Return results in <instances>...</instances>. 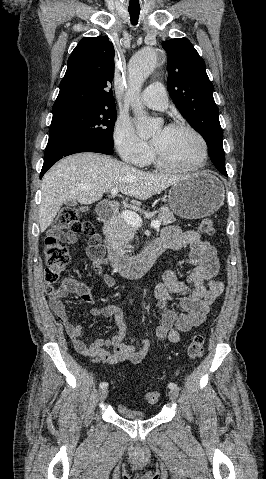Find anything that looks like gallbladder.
Wrapping results in <instances>:
<instances>
[{"instance_id":"bac80fb5","label":"gallbladder","mask_w":266,"mask_h":479,"mask_svg":"<svg viewBox=\"0 0 266 479\" xmlns=\"http://www.w3.org/2000/svg\"><path fill=\"white\" fill-rule=\"evenodd\" d=\"M65 204L68 206H75L77 203L75 201H66Z\"/></svg>"}]
</instances>
